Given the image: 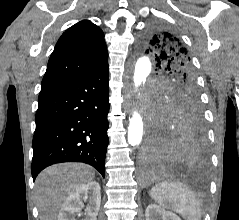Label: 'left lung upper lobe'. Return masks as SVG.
Instances as JSON below:
<instances>
[{"mask_svg": "<svg viewBox=\"0 0 239 220\" xmlns=\"http://www.w3.org/2000/svg\"><path fill=\"white\" fill-rule=\"evenodd\" d=\"M141 46L155 57L156 66L170 79L159 94L158 109L164 112L187 109L201 112L195 70L181 39L169 29L152 25L142 35Z\"/></svg>", "mask_w": 239, "mask_h": 220, "instance_id": "1", "label": "left lung upper lobe"}]
</instances>
